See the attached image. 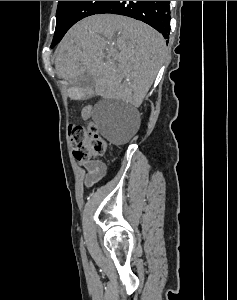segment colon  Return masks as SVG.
<instances>
[{
  "instance_id": "5ec220e1",
  "label": "colon",
  "mask_w": 237,
  "mask_h": 300,
  "mask_svg": "<svg viewBox=\"0 0 237 300\" xmlns=\"http://www.w3.org/2000/svg\"><path fill=\"white\" fill-rule=\"evenodd\" d=\"M69 138L74 156L78 160H92L103 157L107 150L106 141L99 135L97 127L90 123L86 126L73 125Z\"/></svg>"
}]
</instances>
